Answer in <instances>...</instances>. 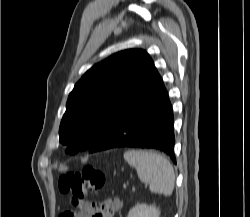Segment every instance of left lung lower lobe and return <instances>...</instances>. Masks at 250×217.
<instances>
[{
	"instance_id": "1",
	"label": "left lung lower lobe",
	"mask_w": 250,
	"mask_h": 217,
	"mask_svg": "<svg viewBox=\"0 0 250 217\" xmlns=\"http://www.w3.org/2000/svg\"><path fill=\"white\" fill-rule=\"evenodd\" d=\"M173 122L168 93L154 67L89 152L117 147L151 148L165 152L176 163Z\"/></svg>"
}]
</instances>
